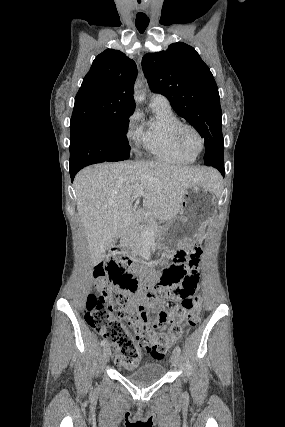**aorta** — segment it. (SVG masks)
<instances>
[{
  "label": "aorta",
  "instance_id": "aorta-1",
  "mask_svg": "<svg viewBox=\"0 0 285 427\" xmlns=\"http://www.w3.org/2000/svg\"><path fill=\"white\" fill-rule=\"evenodd\" d=\"M138 88H139V83H136L134 86V98L137 101H141L143 99V96L139 94Z\"/></svg>",
  "mask_w": 285,
  "mask_h": 427
}]
</instances>
